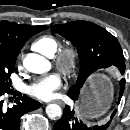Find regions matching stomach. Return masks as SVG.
Here are the masks:
<instances>
[{"instance_id":"stomach-1","label":"stomach","mask_w":130,"mask_h":130,"mask_svg":"<svg viewBox=\"0 0 130 130\" xmlns=\"http://www.w3.org/2000/svg\"><path fill=\"white\" fill-rule=\"evenodd\" d=\"M78 108V113L84 118H95L102 115L109 107L112 99V86L102 75H97L89 81Z\"/></svg>"}]
</instances>
